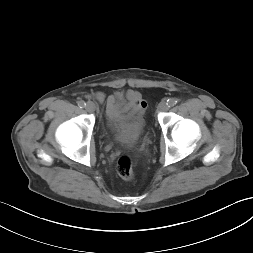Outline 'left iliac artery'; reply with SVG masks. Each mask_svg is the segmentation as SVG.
Listing matches in <instances>:
<instances>
[{
  "label": "left iliac artery",
  "mask_w": 253,
  "mask_h": 253,
  "mask_svg": "<svg viewBox=\"0 0 253 253\" xmlns=\"http://www.w3.org/2000/svg\"><path fill=\"white\" fill-rule=\"evenodd\" d=\"M169 106H174L177 104L178 100L176 98H171L167 100Z\"/></svg>",
  "instance_id": "1"
}]
</instances>
